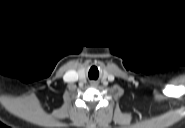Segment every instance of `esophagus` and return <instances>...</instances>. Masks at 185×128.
I'll return each mask as SVG.
<instances>
[{
	"label": "esophagus",
	"mask_w": 185,
	"mask_h": 128,
	"mask_svg": "<svg viewBox=\"0 0 185 128\" xmlns=\"http://www.w3.org/2000/svg\"><path fill=\"white\" fill-rule=\"evenodd\" d=\"M95 84H96V82H94V81H93V82H91V85H95Z\"/></svg>",
	"instance_id": "1"
}]
</instances>
